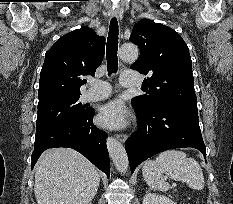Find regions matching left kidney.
I'll return each mask as SVG.
<instances>
[{"label":"left kidney","instance_id":"obj_1","mask_svg":"<svg viewBox=\"0 0 233 204\" xmlns=\"http://www.w3.org/2000/svg\"><path fill=\"white\" fill-rule=\"evenodd\" d=\"M143 204H176L164 195L148 193L143 198Z\"/></svg>","mask_w":233,"mask_h":204}]
</instances>
